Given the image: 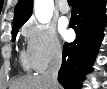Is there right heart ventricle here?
Returning a JSON list of instances; mask_svg holds the SVG:
<instances>
[{
	"label": "right heart ventricle",
	"instance_id": "right-heart-ventricle-1",
	"mask_svg": "<svg viewBox=\"0 0 107 89\" xmlns=\"http://www.w3.org/2000/svg\"><path fill=\"white\" fill-rule=\"evenodd\" d=\"M21 63L24 66V68H26V69L31 68L29 57H28V55L26 53H22V55H21Z\"/></svg>",
	"mask_w": 107,
	"mask_h": 89
}]
</instances>
